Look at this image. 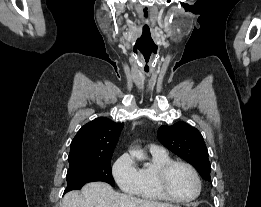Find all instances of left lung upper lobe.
Masks as SVG:
<instances>
[{"instance_id": "5c2ea615", "label": "left lung upper lobe", "mask_w": 261, "mask_h": 207, "mask_svg": "<svg viewBox=\"0 0 261 207\" xmlns=\"http://www.w3.org/2000/svg\"><path fill=\"white\" fill-rule=\"evenodd\" d=\"M159 141L173 153L192 164L203 179L210 181L208 151L201 133L185 122L162 125L157 133Z\"/></svg>"}]
</instances>
